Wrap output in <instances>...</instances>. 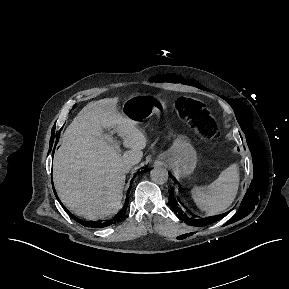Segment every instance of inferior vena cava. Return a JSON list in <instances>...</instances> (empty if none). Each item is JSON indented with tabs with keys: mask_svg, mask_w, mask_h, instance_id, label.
<instances>
[{
	"mask_svg": "<svg viewBox=\"0 0 289 289\" xmlns=\"http://www.w3.org/2000/svg\"><path fill=\"white\" fill-rule=\"evenodd\" d=\"M133 165H134V163L128 162V163H126V164L123 166V170H124L125 172H128Z\"/></svg>",
	"mask_w": 289,
	"mask_h": 289,
	"instance_id": "inferior-vena-cava-1",
	"label": "inferior vena cava"
}]
</instances>
